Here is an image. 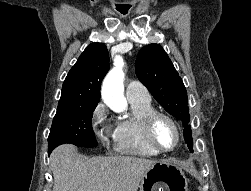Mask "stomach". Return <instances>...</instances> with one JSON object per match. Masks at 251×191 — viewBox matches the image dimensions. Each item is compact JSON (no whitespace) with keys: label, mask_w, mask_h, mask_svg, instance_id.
Instances as JSON below:
<instances>
[{"label":"stomach","mask_w":251,"mask_h":191,"mask_svg":"<svg viewBox=\"0 0 251 191\" xmlns=\"http://www.w3.org/2000/svg\"><path fill=\"white\" fill-rule=\"evenodd\" d=\"M165 187V191H187L188 181L184 171L172 163L157 161L151 169L145 171L141 183L140 191H155Z\"/></svg>","instance_id":"1"}]
</instances>
